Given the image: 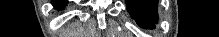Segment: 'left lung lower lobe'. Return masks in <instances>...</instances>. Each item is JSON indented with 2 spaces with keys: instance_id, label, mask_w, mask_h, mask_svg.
Masks as SVG:
<instances>
[{
  "instance_id": "1",
  "label": "left lung lower lobe",
  "mask_w": 219,
  "mask_h": 37,
  "mask_svg": "<svg viewBox=\"0 0 219 37\" xmlns=\"http://www.w3.org/2000/svg\"><path fill=\"white\" fill-rule=\"evenodd\" d=\"M157 0H129L127 9L141 27L154 28L157 22Z\"/></svg>"
}]
</instances>
